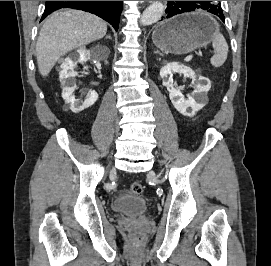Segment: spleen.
<instances>
[{
	"label": "spleen",
	"mask_w": 271,
	"mask_h": 266,
	"mask_svg": "<svg viewBox=\"0 0 271 266\" xmlns=\"http://www.w3.org/2000/svg\"><path fill=\"white\" fill-rule=\"evenodd\" d=\"M212 46L214 48V55L210 59L211 65L220 67L227 59L228 45L226 39L219 31H216L212 37Z\"/></svg>",
	"instance_id": "spleen-1"
}]
</instances>
